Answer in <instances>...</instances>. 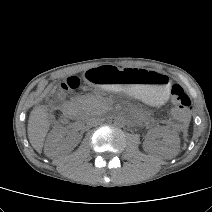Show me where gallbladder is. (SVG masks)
<instances>
[{"instance_id":"gallbladder-1","label":"gallbladder","mask_w":212,"mask_h":212,"mask_svg":"<svg viewBox=\"0 0 212 212\" xmlns=\"http://www.w3.org/2000/svg\"><path fill=\"white\" fill-rule=\"evenodd\" d=\"M65 96H66V93H65L64 91L60 90V91L58 92V97H59V98H64Z\"/></svg>"}]
</instances>
